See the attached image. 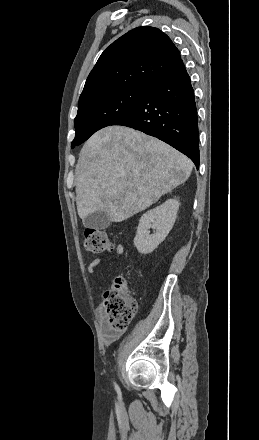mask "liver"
<instances>
[{"label":"liver","mask_w":259,"mask_h":440,"mask_svg":"<svg viewBox=\"0 0 259 440\" xmlns=\"http://www.w3.org/2000/svg\"><path fill=\"white\" fill-rule=\"evenodd\" d=\"M192 161L166 144L124 126H108L84 144L76 166V204L84 220L95 211L122 222L184 183Z\"/></svg>","instance_id":"liver-1"}]
</instances>
